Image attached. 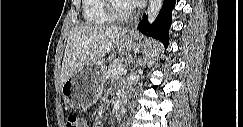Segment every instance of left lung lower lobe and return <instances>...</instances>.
Here are the masks:
<instances>
[{"label":"left lung lower lobe","mask_w":243,"mask_h":127,"mask_svg":"<svg viewBox=\"0 0 243 127\" xmlns=\"http://www.w3.org/2000/svg\"><path fill=\"white\" fill-rule=\"evenodd\" d=\"M174 5L175 0H164L162 10L156 20L150 25L145 15L138 24V30L161 41L167 47L169 44V28L172 22L171 13Z\"/></svg>","instance_id":"1"}]
</instances>
